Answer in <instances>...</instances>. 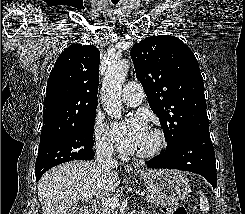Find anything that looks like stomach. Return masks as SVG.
Masks as SVG:
<instances>
[{"mask_svg":"<svg viewBox=\"0 0 245 214\" xmlns=\"http://www.w3.org/2000/svg\"><path fill=\"white\" fill-rule=\"evenodd\" d=\"M140 175L154 193L172 202L183 200L191 190L188 178L179 170H143Z\"/></svg>","mask_w":245,"mask_h":214,"instance_id":"0dacf381","label":"stomach"}]
</instances>
